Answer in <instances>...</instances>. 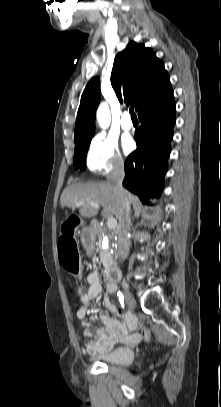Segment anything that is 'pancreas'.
I'll return each instance as SVG.
<instances>
[{
    "label": "pancreas",
    "mask_w": 221,
    "mask_h": 407,
    "mask_svg": "<svg viewBox=\"0 0 221 407\" xmlns=\"http://www.w3.org/2000/svg\"><path fill=\"white\" fill-rule=\"evenodd\" d=\"M104 236H107L108 238L112 239L113 238V232L110 230H107L105 232H103L102 230H99V238L102 239ZM99 249V255H100V259L104 265L105 268H110V266L113 263V256L110 253V247L106 250H102L100 245L98 247Z\"/></svg>",
    "instance_id": "1"
}]
</instances>
